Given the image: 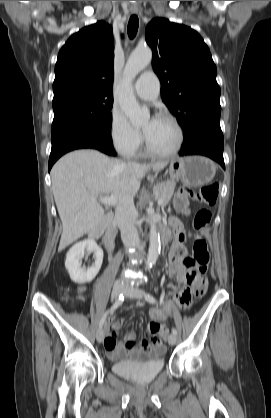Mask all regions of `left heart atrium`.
<instances>
[{
  "label": "left heart atrium",
  "mask_w": 271,
  "mask_h": 418,
  "mask_svg": "<svg viewBox=\"0 0 271 418\" xmlns=\"http://www.w3.org/2000/svg\"><path fill=\"white\" fill-rule=\"evenodd\" d=\"M156 118L151 119V122L153 123L155 121Z\"/></svg>",
  "instance_id": "left-heart-atrium-1"
}]
</instances>
